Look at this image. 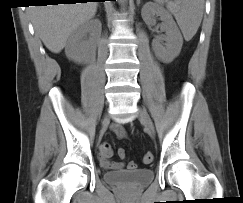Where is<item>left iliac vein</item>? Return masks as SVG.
<instances>
[{
  "label": "left iliac vein",
  "instance_id": "obj_1",
  "mask_svg": "<svg viewBox=\"0 0 243 203\" xmlns=\"http://www.w3.org/2000/svg\"><path fill=\"white\" fill-rule=\"evenodd\" d=\"M138 118L149 129L150 133L154 134L153 122H152L150 116L148 115V113L145 110L139 109Z\"/></svg>",
  "mask_w": 243,
  "mask_h": 203
}]
</instances>
